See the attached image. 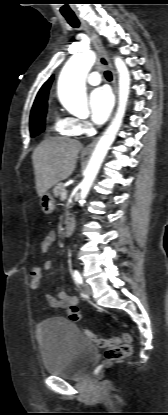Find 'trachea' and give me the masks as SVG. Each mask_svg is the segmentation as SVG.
I'll list each match as a JSON object with an SVG mask.
<instances>
[{
  "label": "trachea",
  "instance_id": "obj_1",
  "mask_svg": "<svg viewBox=\"0 0 168 415\" xmlns=\"http://www.w3.org/2000/svg\"><path fill=\"white\" fill-rule=\"evenodd\" d=\"M67 22L74 28H78L80 26V22L75 15H64ZM105 77L107 80H112V74L110 71H105Z\"/></svg>",
  "mask_w": 168,
  "mask_h": 415
}]
</instances>
